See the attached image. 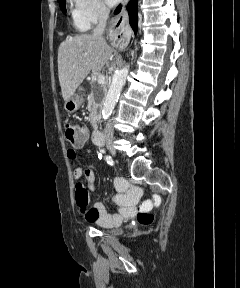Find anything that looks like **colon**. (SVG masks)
<instances>
[{
    "label": "colon",
    "instance_id": "obj_1",
    "mask_svg": "<svg viewBox=\"0 0 240 288\" xmlns=\"http://www.w3.org/2000/svg\"><path fill=\"white\" fill-rule=\"evenodd\" d=\"M63 131L66 139L72 144L77 145L85 141L86 134L84 127L75 125L71 122H65L63 124ZM137 220L142 225H148L153 221V216L149 213L139 212L137 214Z\"/></svg>",
    "mask_w": 240,
    "mask_h": 288
}]
</instances>
